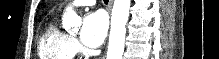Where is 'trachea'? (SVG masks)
<instances>
[{
  "instance_id": "obj_1",
  "label": "trachea",
  "mask_w": 219,
  "mask_h": 59,
  "mask_svg": "<svg viewBox=\"0 0 219 59\" xmlns=\"http://www.w3.org/2000/svg\"><path fill=\"white\" fill-rule=\"evenodd\" d=\"M104 3H105V4H108V0H104Z\"/></svg>"
}]
</instances>
